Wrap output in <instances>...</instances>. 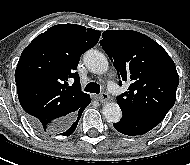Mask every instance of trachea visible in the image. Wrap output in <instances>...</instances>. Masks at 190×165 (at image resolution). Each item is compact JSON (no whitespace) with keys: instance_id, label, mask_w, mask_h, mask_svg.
I'll use <instances>...</instances> for the list:
<instances>
[{"instance_id":"3493384b","label":"trachea","mask_w":190,"mask_h":165,"mask_svg":"<svg viewBox=\"0 0 190 165\" xmlns=\"http://www.w3.org/2000/svg\"><path fill=\"white\" fill-rule=\"evenodd\" d=\"M84 90L86 92L99 94L100 93V85L95 82H90L89 84L86 85Z\"/></svg>"}]
</instances>
